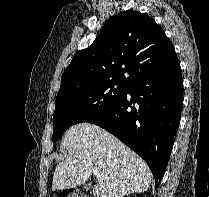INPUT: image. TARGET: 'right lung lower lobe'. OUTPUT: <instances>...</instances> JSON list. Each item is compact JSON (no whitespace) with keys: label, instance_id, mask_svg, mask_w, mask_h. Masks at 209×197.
<instances>
[{"label":"right lung lower lobe","instance_id":"right-lung-lower-lobe-1","mask_svg":"<svg viewBox=\"0 0 209 197\" xmlns=\"http://www.w3.org/2000/svg\"><path fill=\"white\" fill-rule=\"evenodd\" d=\"M127 94L87 122L109 131L142 157L157 188L181 119L183 79L177 55L133 82Z\"/></svg>","mask_w":209,"mask_h":197}]
</instances>
